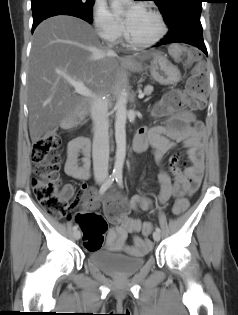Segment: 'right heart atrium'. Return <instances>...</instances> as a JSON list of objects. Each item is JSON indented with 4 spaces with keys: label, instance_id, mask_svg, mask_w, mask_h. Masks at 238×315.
Wrapping results in <instances>:
<instances>
[{
    "label": "right heart atrium",
    "instance_id": "obj_1",
    "mask_svg": "<svg viewBox=\"0 0 238 315\" xmlns=\"http://www.w3.org/2000/svg\"><path fill=\"white\" fill-rule=\"evenodd\" d=\"M93 22L99 36L106 41L114 42L123 33V26L120 20L101 0H97L95 3Z\"/></svg>",
    "mask_w": 238,
    "mask_h": 315
}]
</instances>
